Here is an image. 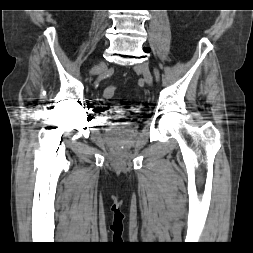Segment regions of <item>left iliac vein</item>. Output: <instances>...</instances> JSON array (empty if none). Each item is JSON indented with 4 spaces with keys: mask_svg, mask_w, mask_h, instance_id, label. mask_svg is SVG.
<instances>
[{
    "mask_svg": "<svg viewBox=\"0 0 253 253\" xmlns=\"http://www.w3.org/2000/svg\"><path fill=\"white\" fill-rule=\"evenodd\" d=\"M135 69L137 71H140L144 77V80L145 82L148 84V85H152L153 83V78H152V75H151V72L149 70V66L147 63H141L139 64L138 66L135 67Z\"/></svg>",
    "mask_w": 253,
    "mask_h": 253,
    "instance_id": "1",
    "label": "left iliac vein"
}]
</instances>
